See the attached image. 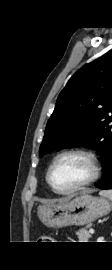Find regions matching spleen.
Wrapping results in <instances>:
<instances>
[{"label":"spleen","instance_id":"3e777b00","mask_svg":"<svg viewBox=\"0 0 112 270\" xmlns=\"http://www.w3.org/2000/svg\"><path fill=\"white\" fill-rule=\"evenodd\" d=\"M99 194L103 197H107L112 201V190H102L99 192Z\"/></svg>","mask_w":112,"mask_h":270}]
</instances>
